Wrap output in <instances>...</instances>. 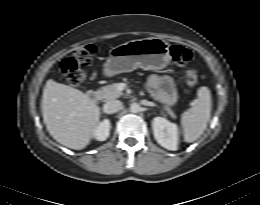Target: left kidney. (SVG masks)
<instances>
[{"mask_svg":"<svg viewBox=\"0 0 260 205\" xmlns=\"http://www.w3.org/2000/svg\"><path fill=\"white\" fill-rule=\"evenodd\" d=\"M152 128L156 141L164 148L175 151L178 149V126L166 118L155 117Z\"/></svg>","mask_w":260,"mask_h":205,"instance_id":"obj_1","label":"left kidney"}]
</instances>
